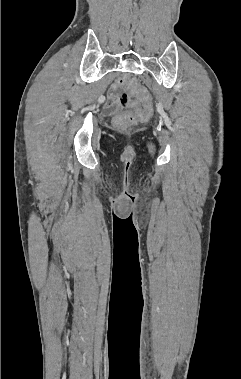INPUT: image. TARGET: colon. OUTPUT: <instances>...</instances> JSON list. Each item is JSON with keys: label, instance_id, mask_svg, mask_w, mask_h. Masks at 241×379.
Instances as JSON below:
<instances>
[{"label": "colon", "instance_id": "5ec220e1", "mask_svg": "<svg viewBox=\"0 0 241 379\" xmlns=\"http://www.w3.org/2000/svg\"><path fill=\"white\" fill-rule=\"evenodd\" d=\"M122 82V81H121ZM142 98L139 99V104H146L144 106H139L136 103L132 102L125 94H118L117 98L119 99L120 105L125 108H134L133 111H126L115 119V123L118 126H130L135 124L140 118L146 117L150 110L155 109L154 103H148L147 94L142 92Z\"/></svg>", "mask_w": 241, "mask_h": 379}]
</instances>
